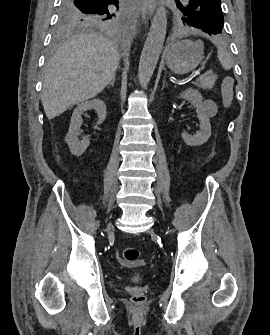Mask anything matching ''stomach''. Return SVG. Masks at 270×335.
Listing matches in <instances>:
<instances>
[{"label": "stomach", "mask_w": 270, "mask_h": 335, "mask_svg": "<svg viewBox=\"0 0 270 335\" xmlns=\"http://www.w3.org/2000/svg\"><path fill=\"white\" fill-rule=\"evenodd\" d=\"M203 50V42L200 40L198 42L179 40L167 48L165 52L166 64L174 74H188L202 62Z\"/></svg>", "instance_id": "obj_1"}]
</instances>
